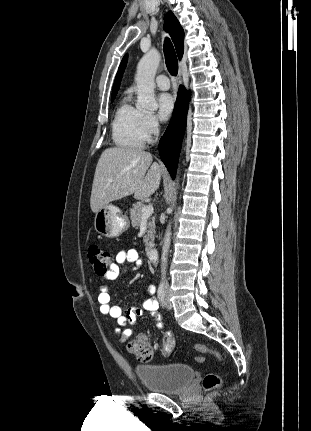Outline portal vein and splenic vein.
<instances>
[{
  "label": "portal vein and splenic vein",
  "instance_id": "portal-vein-and-splenic-vein-1",
  "mask_svg": "<svg viewBox=\"0 0 311 431\" xmlns=\"http://www.w3.org/2000/svg\"><path fill=\"white\" fill-rule=\"evenodd\" d=\"M153 214V206H146V208H143L142 210V217H149Z\"/></svg>",
  "mask_w": 311,
  "mask_h": 431
}]
</instances>
